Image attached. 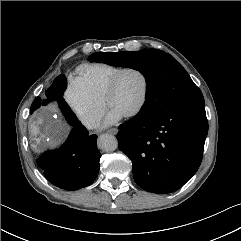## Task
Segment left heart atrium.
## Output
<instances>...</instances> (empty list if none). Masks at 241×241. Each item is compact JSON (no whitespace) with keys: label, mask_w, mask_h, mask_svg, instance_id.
<instances>
[{"label":"left heart atrium","mask_w":241,"mask_h":241,"mask_svg":"<svg viewBox=\"0 0 241 241\" xmlns=\"http://www.w3.org/2000/svg\"><path fill=\"white\" fill-rule=\"evenodd\" d=\"M122 117H123V115L120 112H118L115 109L109 108V110L105 116L103 126L104 127L111 126V125L117 123L118 121H120Z\"/></svg>","instance_id":"left-heart-atrium-1"}]
</instances>
